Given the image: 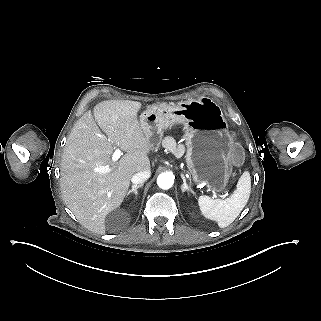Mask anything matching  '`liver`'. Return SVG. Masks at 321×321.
<instances>
[{"instance_id": "obj_1", "label": "liver", "mask_w": 321, "mask_h": 321, "mask_svg": "<svg viewBox=\"0 0 321 321\" xmlns=\"http://www.w3.org/2000/svg\"><path fill=\"white\" fill-rule=\"evenodd\" d=\"M140 108L138 101H102L93 115H82L67 139L61 161L62 197L79 223L93 233L105 234V218L123 202L132 176L150 170V142L137 119ZM117 147L126 153L112 161ZM107 165L108 173L94 171Z\"/></svg>"}]
</instances>
